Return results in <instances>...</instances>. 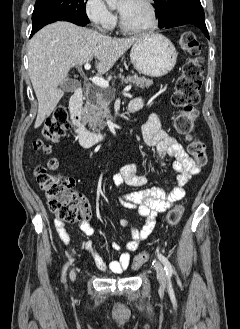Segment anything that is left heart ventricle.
<instances>
[{
  "label": "left heart ventricle",
  "instance_id": "obj_1",
  "mask_svg": "<svg viewBox=\"0 0 240 329\" xmlns=\"http://www.w3.org/2000/svg\"><path fill=\"white\" fill-rule=\"evenodd\" d=\"M118 11L124 23L131 28H139L150 23V11L143 0H122Z\"/></svg>",
  "mask_w": 240,
  "mask_h": 329
}]
</instances>
